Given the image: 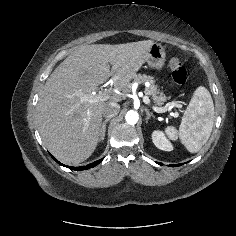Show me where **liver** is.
Masks as SVG:
<instances>
[{
	"label": "liver",
	"instance_id": "1",
	"mask_svg": "<svg viewBox=\"0 0 236 236\" xmlns=\"http://www.w3.org/2000/svg\"><path fill=\"white\" fill-rule=\"evenodd\" d=\"M153 44H84L52 72L37 104V121L43 144L55 157L76 165L92 155L100 141L103 108L125 97L112 93L107 102L88 100L110 77L116 90L127 92Z\"/></svg>",
	"mask_w": 236,
	"mask_h": 236
}]
</instances>
